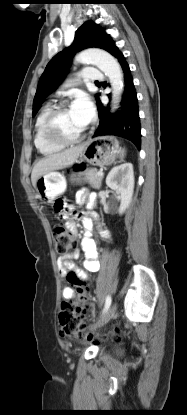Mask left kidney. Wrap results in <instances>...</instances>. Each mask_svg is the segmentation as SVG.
Returning <instances> with one entry per match:
<instances>
[{"label": "left kidney", "mask_w": 187, "mask_h": 415, "mask_svg": "<svg viewBox=\"0 0 187 415\" xmlns=\"http://www.w3.org/2000/svg\"><path fill=\"white\" fill-rule=\"evenodd\" d=\"M106 185L119 194V214L129 207L134 190V172L131 163H124L111 169L106 177Z\"/></svg>", "instance_id": "5707ae66"}]
</instances>
